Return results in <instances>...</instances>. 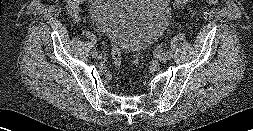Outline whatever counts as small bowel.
I'll list each match as a JSON object with an SVG mask.
<instances>
[{
    "label": "small bowel",
    "instance_id": "1",
    "mask_svg": "<svg viewBox=\"0 0 253 131\" xmlns=\"http://www.w3.org/2000/svg\"><path fill=\"white\" fill-rule=\"evenodd\" d=\"M67 3V11L72 17H77L79 13V5L84 0H65Z\"/></svg>",
    "mask_w": 253,
    "mask_h": 131
}]
</instances>
